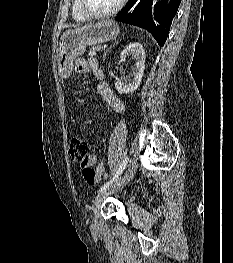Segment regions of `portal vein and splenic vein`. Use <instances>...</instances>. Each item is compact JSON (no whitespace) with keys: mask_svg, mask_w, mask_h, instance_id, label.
<instances>
[{"mask_svg":"<svg viewBox=\"0 0 233 263\" xmlns=\"http://www.w3.org/2000/svg\"><path fill=\"white\" fill-rule=\"evenodd\" d=\"M89 55L94 56V55H96V53L94 51H90Z\"/></svg>","mask_w":233,"mask_h":263,"instance_id":"portal-vein-and-splenic-vein-1","label":"portal vein and splenic vein"}]
</instances>
